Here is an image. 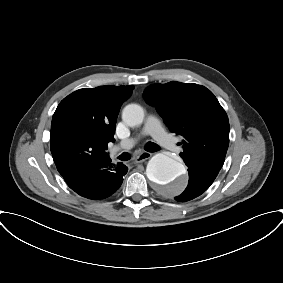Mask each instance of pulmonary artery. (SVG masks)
Segmentation results:
<instances>
[{"label":"pulmonary artery","instance_id":"pulmonary-artery-1","mask_svg":"<svg viewBox=\"0 0 283 283\" xmlns=\"http://www.w3.org/2000/svg\"><path fill=\"white\" fill-rule=\"evenodd\" d=\"M144 135H151L159 145L170 151L179 150L177 142L166 133L160 119L156 115H150L147 118L140 136L132 137L122 141L119 145V148L133 147L138 142L140 137Z\"/></svg>","mask_w":283,"mask_h":283}]
</instances>
